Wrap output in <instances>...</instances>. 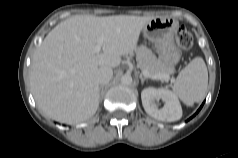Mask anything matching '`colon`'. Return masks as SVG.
Masks as SVG:
<instances>
[{
    "label": "colon",
    "instance_id": "1",
    "mask_svg": "<svg viewBox=\"0 0 238 158\" xmlns=\"http://www.w3.org/2000/svg\"><path fill=\"white\" fill-rule=\"evenodd\" d=\"M175 39L178 46L183 50H189L193 45V38L191 34L184 28L178 29Z\"/></svg>",
    "mask_w": 238,
    "mask_h": 158
}]
</instances>
